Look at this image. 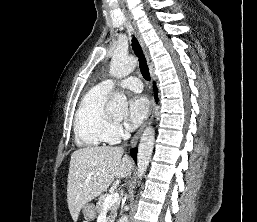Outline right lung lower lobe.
<instances>
[{"label": "right lung lower lobe", "mask_w": 257, "mask_h": 222, "mask_svg": "<svg viewBox=\"0 0 257 222\" xmlns=\"http://www.w3.org/2000/svg\"><path fill=\"white\" fill-rule=\"evenodd\" d=\"M153 88H154V93H155V99L157 101V87H156L155 83L153 85ZM130 153H131L132 158L136 161L137 149H132Z\"/></svg>", "instance_id": "right-lung-lower-lobe-1"}]
</instances>
